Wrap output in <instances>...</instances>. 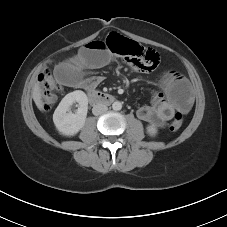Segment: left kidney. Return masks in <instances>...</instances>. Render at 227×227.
Segmentation results:
<instances>
[{"label": "left kidney", "instance_id": "5707ae66", "mask_svg": "<svg viewBox=\"0 0 227 227\" xmlns=\"http://www.w3.org/2000/svg\"><path fill=\"white\" fill-rule=\"evenodd\" d=\"M147 132L151 136H155L157 134V128L153 125L147 127Z\"/></svg>", "mask_w": 227, "mask_h": 227}]
</instances>
